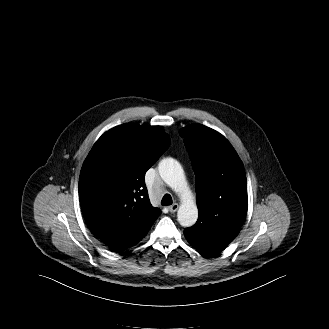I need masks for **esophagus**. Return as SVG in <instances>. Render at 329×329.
<instances>
[{
	"instance_id": "34e87169",
	"label": "esophagus",
	"mask_w": 329,
	"mask_h": 329,
	"mask_svg": "<svg viewBox=\"0 0 329 329\" xmlns=\"http://www.w3.org/2000/svg\"><path fill=\"white\" fill-rule=\"evenodd\" d=\"M179 208V205L177 203H174L173 205L169 206L168 209L171 213H175Z\"/></svg>"
}]
</instances>
